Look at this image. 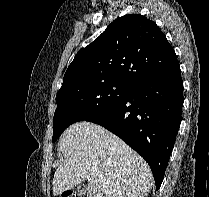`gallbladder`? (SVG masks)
<instances>
[{
  "label": "gallbladder",
  "instance_id": "1",
  "mask_svg": "<svg viewBox=\"0 0 209 197\" xmlns=\"http://www.w3.org/2000/svg\"><path fill=\"white\" fill-rule=\"evenodd\" d=\"M86 188L87 186L85 184H81V185H78L75 190H74V193L76 194H85L86 193Z\"/></svg>",
  "mask_w": 209,
  "mask_h": 197
}]
</instances>
